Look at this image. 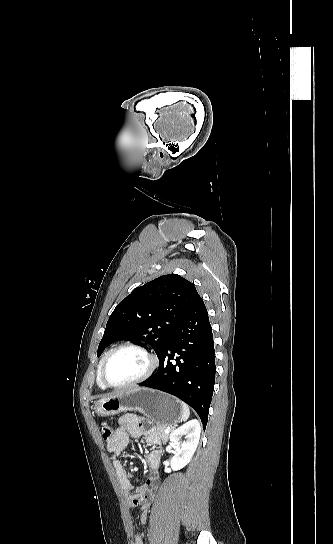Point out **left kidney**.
Masks as SVG:
<instances>
[{
    "label": "left kidney",
    "instance_id": "1",
    "mask_svg": "<svg viewBox=\"0 0 333 544\" xmlns=\"http://www.w3.org/2000/svg\"><path fill=\"white\" fill-rule=\"evenodd\" d=\"M201 427L197 420H191L170 435V442L174 446V456L170 462V468H165V472L171 470H180L185 467L192 459L200 438ZM186 435V440L180 445V440Z\"/></svg>",
    "mask_w": 333,
    "mask_h": 544
}]
</instances>
